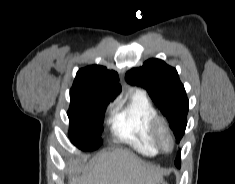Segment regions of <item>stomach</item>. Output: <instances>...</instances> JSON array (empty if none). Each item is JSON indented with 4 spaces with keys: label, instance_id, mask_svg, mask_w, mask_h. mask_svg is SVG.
<instances>
[{
    "label": "stomach",
    "instance_id": "1",
    "mask_svg": "<svg viewBox=\"0 0 235 184\" xmlns=\"http://www.w3.org/2000/svg\"><path fill=\"white\" fill-rule=\"evenodd\" d=\"M156 184H167V182H165V180H163V178H161V180H158V182H156Z\"/></svg>",
    "mask_w": 235,
    "mask_h": 184
}]
</instances>
